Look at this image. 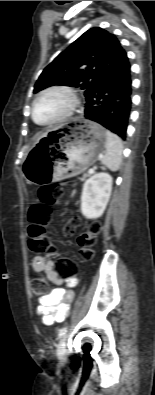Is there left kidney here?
Instances as JSON below:
<instances>
[{
	"label": "left kidney",
	"instance_id": "left-kidney-1",
	"mask_svg": "<svg viewBox=\"0 0 155 395\" xmlns=\"http://www.w3.org/2000/svg\"><path fill=\"white\" fill-rule=\"evenodd\" d=\"M112 190V177L101 172L92 175L83 185L81 212L88 219L102 216L108 204Z\"/></svg>",
	"mask_w": 155,
	"mask_h": 395
}]
</instances>
